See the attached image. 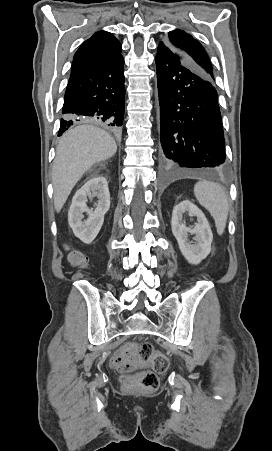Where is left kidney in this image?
Instances as JSON below:
<instances>
[{
    "label": "left kidney",
    "mask_w": 272,
    "mask_h": 451,
    "mask_svg": "<svg viewBox=\"0 0 272 451\" xmlns=\"http://www.w3.org/2000/svg\"><path fill=\"white\" fill-rule=\"evenodd\" d=\"M185 212H188L189 216H196L197 218L198 224H195L193 229L186 227L182 222ZM171 229L179 243L181 253L188 259L189 263H200L210 253L213 239L211 227L203 212L189 200H184L173 208ZM188 231L196 233L195 237H192L195 241H188Z\"/></svg>",
    "instance_id": "1"
}]
</instances>
